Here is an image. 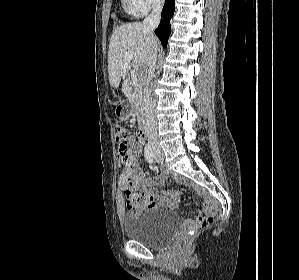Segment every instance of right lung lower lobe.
I'll use <instances>...</instances> for the list:
<instances>
[{
	"instance_id": "1",
	"label": "right lung lower lobe",
	"mask_w": 299,
	"mask_h": 280,
	"mask_svg": "<svg viewBox=\"0 0 299 280\" xmlns=\"http://www.w3.org/2000/svg\"><path fill=\"white\" fill-rule=\"evenodd\" d=\"M175 4L174 0H165V5L161 14V22L155 30V34L159 37L162 46L167 47L168 38L170 35V19L174 14Z\"/></svg>"
}]
</instances>
